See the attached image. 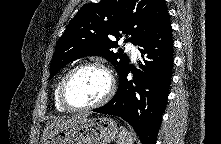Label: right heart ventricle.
Instances as JSON below:
<instances>
[{"mask_svg":"<svg viewBox=\"0 0 221 144\" xmlns=\"http://www.w3.org/2000/svg\"><path fill=\"white\" fill-rule=\"evenodd\" d=\"M65 75H66V74H64V75L60 78V80L58 81V83H57V85H56V87H55V90H54V104H55L56 109H57L59 112H66V111H67V110H65V109L61 106V104H60V102H59V88H60V84H61L63 78L65 77Z\"/></svg>","mask_w":221,"mask_h":144,"instance_id":"1","label":"right heart ventricle"}]
</instances>
